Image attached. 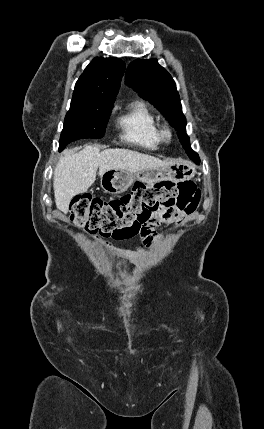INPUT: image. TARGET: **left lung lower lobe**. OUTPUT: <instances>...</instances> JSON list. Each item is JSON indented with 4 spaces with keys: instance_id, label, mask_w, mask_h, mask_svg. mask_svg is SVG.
I'll return each instance as SVG.
<instances>
[{
    "instance_id": "left-lung-lower-lobe-1",
    "label": "left lung lower lobe",
    "mask_w": 264,
    "mask_h": 429,
    "mask_svg": "<svg viewBox=\"0 0 264 429\" xmlns=\"http://www.w3.org/2000/svg\"><path fill=\"white\" fill-rule=\"evenodd\" d=\"M192 160H194V161H198L199 160V157H198V155L196 154V153H194L193 155H190L189 156Z\"/></svg>"
}]
</instances>
